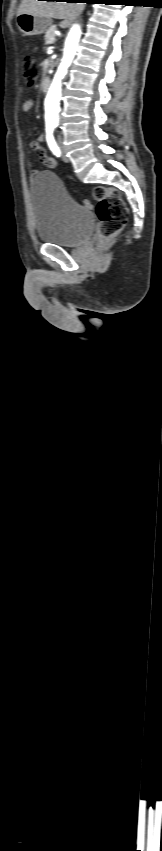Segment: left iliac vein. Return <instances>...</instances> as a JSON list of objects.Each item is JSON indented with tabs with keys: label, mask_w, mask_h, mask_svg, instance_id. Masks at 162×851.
<instances>
[{
	"label": "left iliac vein",
	"mask_w": 162,
	"mask_h": 851,
	"mask_svg": "<svg viewBox=\"0 0 162 851\" xmlns=\"http://www.w3.org/2000/svg\"><path fill=\"white\" fill-rule=\"evenodd\" d=\"M61 153H62V160H63L64 162H69V158H68V157H67V155L65 154V151H64V149H63V147H62V146H61Z\"/></svg>",
	"instance_id": "obj_1"
}]
</instances>
